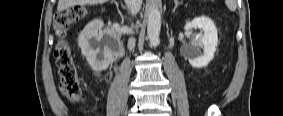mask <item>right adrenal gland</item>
Returning a JSON list of instances; mask_svg holds the SVG:
<instances>
[{
	"instance_id": "obj_1",
	"label": "right adrenal gland",
	"mask_w": 283,
	"mask_h": 116,
	"mask_svg": "<svg viewBox=\"0 0 283 116\" xmlns=\"http://www.w3.org/2000/svg\"><path fill=\"white\" fill-rule=\"evenodd\" d=\"M122 8L125 9V6L122 4Z\"/></svg>"
}]
</instances>
